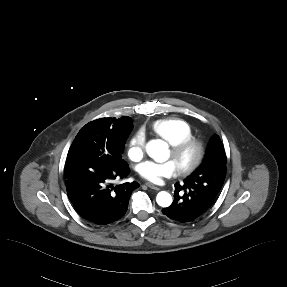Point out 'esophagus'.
<instances>
[{
  "label": "esophagus",
  "instance_id": "34e87169",
  "mask_svg": "<svg viewBox=\"0 0 287 287\" xmlns=\"http://www.w3.org/2000/svg\"><path fill=\"white\" fill-rule=\"evenodd\" d=\"M146 185L149 187V188H151V189H153V190H155V191H159L160 190V188L159 187H157V186H155V185H153V184H151V183H146Z\"/></svg>",
  "mask_w": 287,
  "mask_h": 287
}]
</instances>
